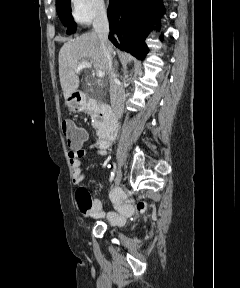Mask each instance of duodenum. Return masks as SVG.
Listing matches in <instances>:
<instances>
[{
  "instance_id": "obj_1",
  "label": "duodenum",
  "mask_w": 240,
  "mask_h": 288,
  "mask_svg": "<svg viewBox=\"0 0 240 288\" xmlns=\"http://www.w3.org/2000/svg\"><path fill=\"white\" fill-rule=\"evenodd\" d=\"M80 110L92 113L100 132L99 144L109 147L116 137V121L112 111L108 108H99L96 102L78 94L74 97Z\"/></svg>"
}]
</instances>
